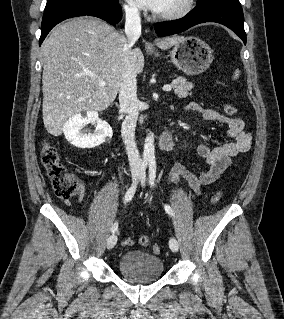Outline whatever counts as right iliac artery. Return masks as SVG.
I'll return each mask as SVG.
<instances>
[{
	"label": "right iliac artery",
	"mask_w": 284,
	"mask_h": 319,
	"mask_svg": "<svg viewBox=\"0 0 284 319\" xmlns=\"http://www.w3.org/2000/svg\"><path fill=\"white\" fill-rule=\"evenodd\" d=\"M147 165H148V160L145 159L143 160L142 162V166H141V173H143L145 171V169L147 168ZM137 183L138 182H135L129 189L128 191L126 192L125 194V198H124V203H128L129 201H131V199L133 198L134 194H135V191H136V187H137ZM118 229V223L115 222L112 227H111V232L114 233L116 232Z\"/></svg>",
	"instance_id": "82829eb1"
}]
</instances>
